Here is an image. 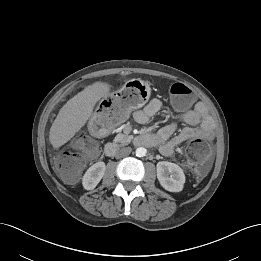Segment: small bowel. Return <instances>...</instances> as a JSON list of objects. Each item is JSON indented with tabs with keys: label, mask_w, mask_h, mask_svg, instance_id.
Here are the masks:
<instances>
[{
	"label": "small bowel",
	"mask_w": 261,
	"mask_h": 261,
	"mask_svg": "<svg viewBox=\"0 0 261 261\" xmlns=\"http://www.w3.org/2000/svg\"><path fill=\"white\" fill-rule=\"evenodd\" d=\"M162 102L152 99L143 109L134 113V120L142 125L148 124L150 120L161 110ZM182 119L188 127L176 133V124L172 123L161 128L155 135V143L159 145L162 155L170 156L176 147L182 142L193 138L211 139L214 133V122L211 117L204 114V106L198 103L195 108L186 111Z\"/></svg>",
	"instance_id": "c3829d8e"
}]
</instances>
